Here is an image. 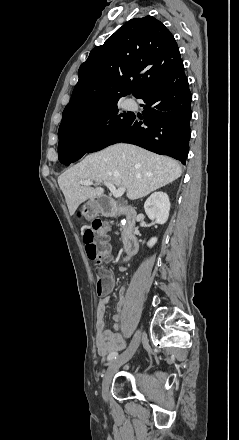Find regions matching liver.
Returning <instances> with one entry per match:
<instances>
[{
	"label": "liver",
	"instance_id": "1",
	"mask_svg": "<svg viewBox=\"0 0 239 440\" xmlns=\"http://www.w3.org/2000/svg\"><path fill=\"white\" fill-rule=\"evenodd\" d=\"M182 168L176 160L157 156L131 144H115L102 152L86 156L80 164L72 166L58 178L70 216L86 200L101 198L103 188L80 186V180L109 182L117 188H125L129 200L144 198L158 188H163L180 178ZM140 176V178H137Z\"/></svg>",
	"mask_w": 239,
	"mask_h": 440
}]
</instances>
